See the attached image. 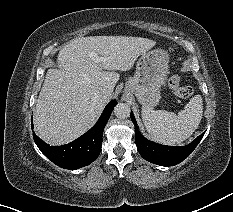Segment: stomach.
I'll return each mask as SVG.
<instances>
[{"mask_svg": "<svg viewBox=\"0 0 233 212\" xmlns=\"http://www.w3.org/2000/svg\"><path fill=\"white\" fill-rule=\"evenodd\" d=\"M169 55L165 50H147L140 54L135 75L125 86V93L134 94L142 105L153 108L161 98L166 81Z\"/></svg>", "mask_w": 233, "mask_h": 212, "instance_id": "1", "label": "stomach"}]
</instances>
